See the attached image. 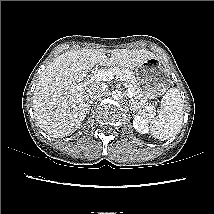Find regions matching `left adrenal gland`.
<instances>
[{
  "mask_svg": "<svg viewBox=\"0 0 214 214\" xmlns=\"http://www.w3.org/2000/svg\"><path fill=\"white\" fill-rule=\"evenodd\" d=\"M128 102H129L128 106H130V100H128ZM130 109H131V108H130Z\"/></svg>",
  "mask_w": 214,
  "mask_h": 214,
  "instance_id": "a2214340",
  "label": "left adrenal gland"
}]
</instances>
